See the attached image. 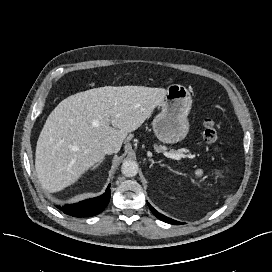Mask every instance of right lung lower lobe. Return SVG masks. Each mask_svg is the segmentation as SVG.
<instances>
[{
    "mask_svg": "<svg viewBox=\"0 0 272 272\" xmlns=\"http://www.w3.org/2000/svg\"><path fill=\"white\" fill-rule=\"evenodd\" d=\"M110 200V185L106 192L99 197L87 199L75 204H67L65 206H58L65 214L74 217H89L102 212L108 205Z\"/></svg>",
    "mask_w": 272,
    "mask_h": 272,
    "instance_id": "1",
    "label": "right lung lower lobe"
}]
</instances>
